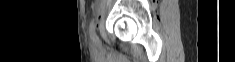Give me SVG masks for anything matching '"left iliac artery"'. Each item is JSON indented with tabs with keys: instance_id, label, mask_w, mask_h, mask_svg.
<instances>
[{
	"instance_id": "obj_1",
	"label": "left iliac artery",
	"mask_w": 235,
	"mask_h": 62,
	"mask_svg": "<svg viewBox=\"0 0 235 62\" xmlns=\"http://www.w3.org/2000/svg\"><path fill=\"white\" fill-rule=\"evenodd\" d=\"M89 31H90V36H91V39L93 40V42L98 43L99 39H98V37L96 35V32H95L94 19H92L91 22H90Z\"/></svg>"
}]
</instances>
